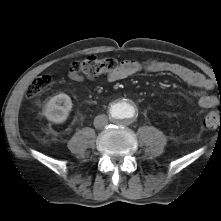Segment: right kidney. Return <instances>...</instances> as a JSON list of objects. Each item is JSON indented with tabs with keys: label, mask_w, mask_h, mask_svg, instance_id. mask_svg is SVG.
Returning <instances> with one entry per match:
<instances>
[{
	"label": "right kidney",
	"mask_w": 221,
	"mask_h": 221,
	"mask_svg": "<svg viewBox=\"0 0 221 221\" xmlns=\"http://www.w3.org/2000/svg\"><path fill=\"white\" fill-rule=\"evenodd\" d=\"M72 106L71 98L68 95L64 93L58 94L47 102L45 116L53 123H63L68 118Z\"/></svg>",
	"instance_id": "obj_1"
}]
</instances>
